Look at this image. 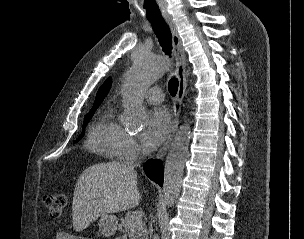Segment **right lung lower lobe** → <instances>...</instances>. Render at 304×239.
<instances>
[{"instance_id":"obj_1","label":"right lung lower lobe","mask_w":304,"mask_h":239,"mask_svg":"<svg viewBox=\"0 0 304 239\" xmlns=\"http://www.w3.org/2000/svg\"><path fill=\"white\" fill-rule=\"evenodd\" d=\"M144 170L146 175L159 184L163 185V167L160 161L158 160H148L144 165Z\"/></svg>"}]
</instances>
